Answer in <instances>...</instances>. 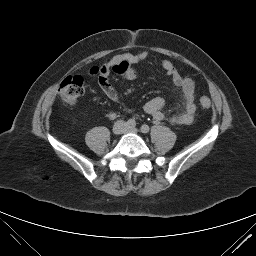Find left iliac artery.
I'll return each mask as SVG.
<instances>
[{
	"label": "left iliac artery",
	"mask_w": 256,
	"mask_h": 256,
	"mask_svg": "<svg viewBox=\"0 0 256 256\" xmlns=\"http://www.w3.org/2000/svg\"><path fill=\"white\" fill-rule=\"evenodd\" d=\"M140 130H141L142 133H148L149 130H150V128H149L148 125L143 124V125L141 126Z\"/></svg>",
	"instance_id": "obj_1"
}]
</instances>
